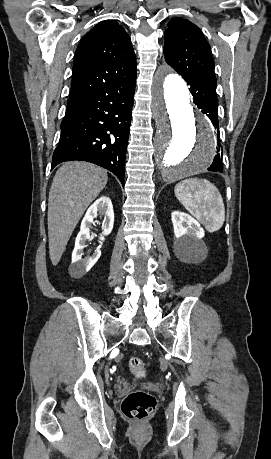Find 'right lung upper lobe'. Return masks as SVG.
Returning <instances> with one entry per match:
<instances>
[{
	"label": "right lung upper lobe",
	"mask_w": 271,
	"mask_h": 459,
	"mask_svg": "<svg viewBox=\"0 0 271 459\" xmlns=\"http://www.w3.org/2000/svg\"><path fill=\"white\" fill-rule=\"evenodd\" d=\"M136 73L134 49L124 28L113 20L98 23L77 47L66 109Z\"/></svg>",
	"instance_id": "right-lung-upper-lobe-1"
}]
</instances>
